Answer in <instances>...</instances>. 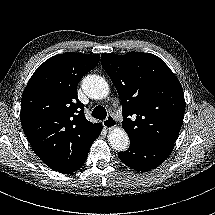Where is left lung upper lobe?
Wrapping results in <instances>:
<instances>
[{
    "label": "left lung upper lobe",
    "mask_w": 215,
    "mask_h": 215,
    "mask_svg": "<svg viewBox=\"0 0 215 215\" xmlns=\"http://www.w3.org/2000/svg\"><path fill=\"white\" fill-rule=\"evenodd\" d=\"M101 63L121 99L122 127L130 141L174 143L183 122L185 99L180 82L164 61L150 53L129 52L102 54Z\"/></svg>",
    "instance_id": "obj_1"
}]
</instances>
